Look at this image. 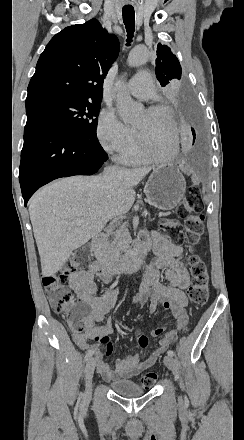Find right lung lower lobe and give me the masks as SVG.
<instances>
[{"label":"right lung lower lobe","instance_id":"1","mask_svg":"<svg viewBox=\"0 0 244 440\" xmlns=\"http://www.w3.org/2000/svg\"><path fill=\"white\" fill-rule=\"evenodd\" d=\"M107 158L97 139L47 123H27L19 169L25 206L41 186L61 177L92 175Z\"/></svg>","mask_w":244,"mask_h":440}]
</instances>
